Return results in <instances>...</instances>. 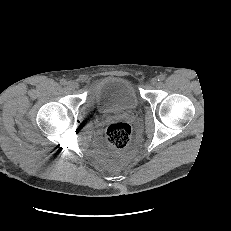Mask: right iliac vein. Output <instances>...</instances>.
Instances as JSON below:
<instances>
[{
	"mask_svg": "<svg viewBox=\"0 0 231 231\" xmlns=\"http://www.w3.org/2000/svg\"><path fill=\"white\" fill-rule=\"evenodd\" d=\"M67 87H68V89H70V90H74V89L76 88V83L73 82V81H69V82L67 83Z\"/></svg>",
	"mask_w": 231,
	"mask_h": 231,
	"instance_id": "obj_1",
	"label": "right iliac vein"
}]
</instances>
